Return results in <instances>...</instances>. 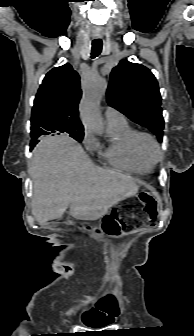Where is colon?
Returning a JSON list of instances; mask_svg holds the SVG:
<instances>
[{"label": "colon", "mask_w": 194, "mask_h": 336, "mask_svg": "<svg viewBox=\"0 0 194 336\" xmlns=\"http://www.w3.org/2000/svg\"><path fill=\"white\" fill-rule=\"evenodd\" d=\"M146 215L147 221L140 217V213ZM155 201L148 193H141L137 198L125 200L121 207L105 216L102 222V230L112 236H119L133 227L149 224L156 217Z\"/></svg>", "instance_id": "5ec220e1"}]
</instances>
